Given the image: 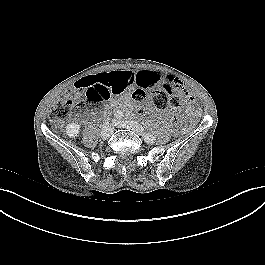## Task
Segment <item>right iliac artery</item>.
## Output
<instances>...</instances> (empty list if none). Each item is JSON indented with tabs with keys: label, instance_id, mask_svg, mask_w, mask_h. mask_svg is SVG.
I'll return each mask as SVG.
<instances>
[{
	"label": "right iliac artery",
	"instance_id": "82829eb1",
	"mask_svg": "<svg viewBox=\"0 0 265 265\" xmlns=\"http://www.w3.org/2000/svg\"><path fill=\"white\" fill-rule=\"evenodd\" d=\"M114 116L117 118V119H121L123 117V113L121 111H117Z\"/></svg>",
	"mask_w": 265,
	"mask_h": 265
}]
</instances>
